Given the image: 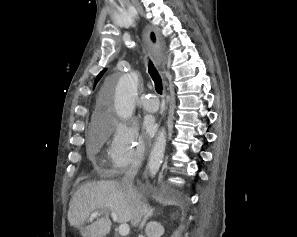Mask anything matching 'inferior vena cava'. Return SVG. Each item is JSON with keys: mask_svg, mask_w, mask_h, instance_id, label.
<instances>
[{"mask_svg": "<svg viewBox=\"0 0 297 237\" xmlns=\"http://www.w3.org/2000/svg\"><path fill=\"white\" fill-rule=\"evenodd\" d=\"M137 167H131L124 175L121 180V187L126 194V197L129 200L131 211H132V220L131 223L133 226H138L142 216L145 215L146 208L144 203L141 201L140 195L133 188V180L137 174Z\"/></svg>", "mask_w": 297, "mask_h": 237, "instance_id": "1", "label": "inferior vena cava"}]
</instances>
